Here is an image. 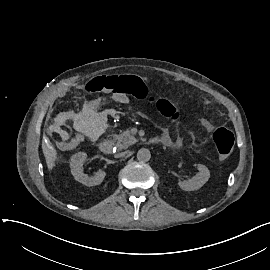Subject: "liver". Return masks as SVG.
Wrapping results in <instances>:
<instances>
[{
    "label": "liver",
    "instance_id": "liver-1",
    "mask_svg": "<svg viewBox=\"0 0 270 270\" xmlns=\"http://www.w3.org/2000/svg\"><path fill=\"white\" fill-rule=\"evenodd\" d=\"M43 153L46 159L48 169L51 170L54 167L56 159V150L50 145H42Z\"/></svg>",
    "mask_w": 270,
    "mask_h": 270
}]
</instances>
